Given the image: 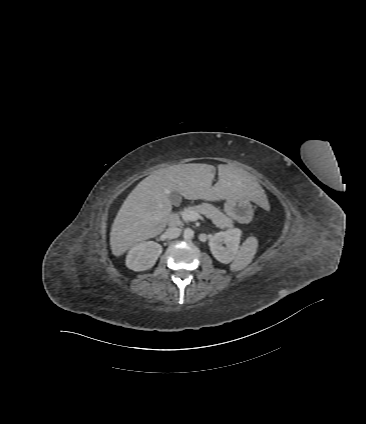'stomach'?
<instances>
[{
  "label": "stomach",
  "instance_id": "0dacf381",
  "mask_svg": "<svg viewBox=\"0 0 366 424\" xmlns=\"http://www.w3.org/2000/svg\"><path fill=\"white\" fill-rule=\"evenodd\" d=\"M245 209L252 211L250 200L247 198H229L224 204L226 215L235 220H242L240 210Z\"/></svg>",
  "mask_w": 366,
  "mask_h": 424
}]
</instances>
